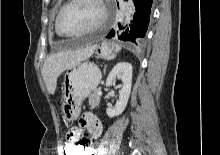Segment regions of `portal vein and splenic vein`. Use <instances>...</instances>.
<instances>
[{"instance_id": "obj_1", "label": "portal vein and splenic vein", "mask_w": 220, "mask_h": 155, "mask_svg": "<svg viewBox=\"0 0 220 155\" xmlns=\"http://www.w3.org/2000/svg\"><path fill=\"white\" fill-rule=\"evenodd\" d=\"M98 95H101V92L100 91H98V93H97Z\"/></svg>"}]
</instances>
